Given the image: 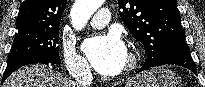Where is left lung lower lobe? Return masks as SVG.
Listing matches in <instances>:
<instances>
[{
    "label": "left lung lower lobe",
    "instance_id": "0a47b994",
    "mask_svg": "<svg viewBox=\"0 0 205 87\" xmlns=\"http://www.w3.org/2000/svg\"><path fill=\"white\" fill-rule=\"evenodd\" d=\"M175 64L190 69L197 74L196 66L191 58L190 49L186 43L175 45L169 52L154 66ZM151 65L144 64L139 71H144L151 67Z\"/></svg>",
    "mask_w": 205,
    "mask_h": 87
}]
</instances>
